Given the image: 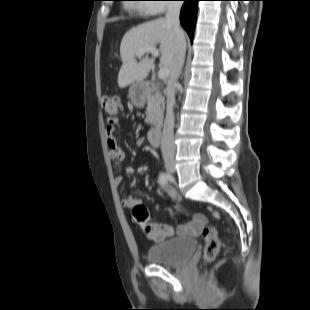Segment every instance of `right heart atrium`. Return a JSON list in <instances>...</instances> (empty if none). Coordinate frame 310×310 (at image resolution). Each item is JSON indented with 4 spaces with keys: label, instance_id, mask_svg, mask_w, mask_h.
Returning <instances> with one entry per match:
<instances>
[{
    "label": "right heart atrium",
    "instance_id": "1",
    "mask_svg": "<svg viewBox=\"0 0 310 310\" xmlns=\"http://www.w3.org/2000/svg\"><path fill=\"white\" fill-rule=\"evenodd\" d=\"M154 2L153 4H149L147 8L149 9V14H160L163 13L167 9V1L168 0H149Z\"/></svg>",
    "mask_w": 310,
    "mask_h": 310
}]
</instances>
